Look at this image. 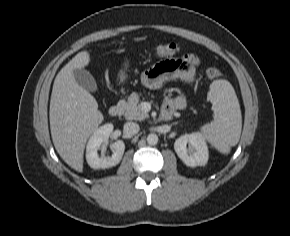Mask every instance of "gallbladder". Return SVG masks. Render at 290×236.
<instances>
[{
    "label": "gallbladder",
    "mask_w": 290,
    "mask_h": 236,
    "mask_svg": "<svg viewBox=\"0 0 290 236\" xmlns=\"http://www.w3.org/2000/svg\"><path fill=\"white\" fill-rule=\"evenodd\" d=\"M73 74L76 82L85 90L89 92H96L98 90L96 80L87 70L75 69Z\"/></svg>",
    "instance_id": "obj_1"
}]
</instances>
